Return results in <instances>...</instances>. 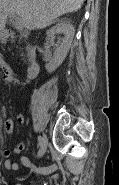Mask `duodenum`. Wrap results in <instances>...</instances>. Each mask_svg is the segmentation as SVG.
I'll list each match as a JSON object with an SVG mask.
<instances>
[{"label":"duodenum","instance_id":"duodenum-1","mask_svg":"<svg viewBox=\"0 0 119 185\" xmlns=\"http://www.w3.org/2000/svg\"><path fill=\"white\" fill-rule=\"evenodd\" d=\"M39 71H40V65L36 56L34 55L32 57L29 67L26 70V76L29 79L35 78L38 75Z\"/></svg>","mask_w":119,"mask_h":185}]
</instances>
